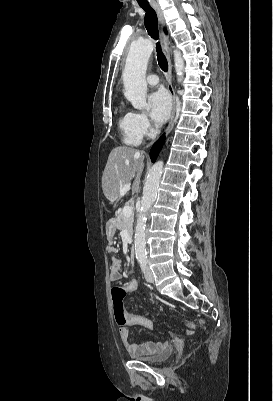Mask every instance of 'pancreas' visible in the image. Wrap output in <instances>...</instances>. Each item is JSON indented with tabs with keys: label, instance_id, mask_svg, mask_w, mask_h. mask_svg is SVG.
<instances>
[{
	"label": "pancreas",
	"instance_id": "1",
	"mask_svg": "<svg viewBox=\"0 0 273 401\" xmlns=\"http://www.w3.org/2000/svg\"><path fill=\"white\" fill-rule=\"evenodd\" d=\"M133 221V215L124 217L123 213H117L115 227L119 231H127L129 235H133Z\"/></svg>",
	"mask_w": 273,
	"mask_h": 401
}]
</instances>
